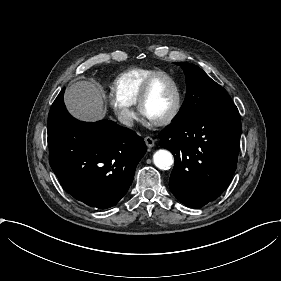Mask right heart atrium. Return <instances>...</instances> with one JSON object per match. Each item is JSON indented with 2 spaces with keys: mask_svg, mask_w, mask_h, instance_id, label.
Here are the masks:
<instances>
[{
  "mask_svg": "<svg viewBox=\"0 0 281 281\" xmlns=\"http://www.w3.org/2000/svg\"><path fill=\"white\" fill-rule=\"evenodd\" d=\"M108 100L115 114L123 124L131 125L135 121L136 111L131 105L120 100L114 93H109Z\"/></svg>",
  "mask_w": 281,
  "mask_h": 281,
  "instance_id": "d8ad5b80",
  "label": "right heart atrium"
}]
</instances>
